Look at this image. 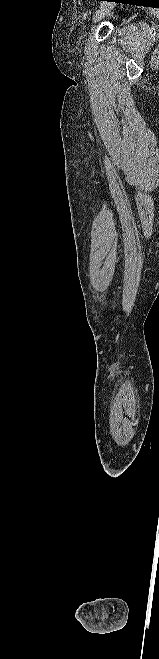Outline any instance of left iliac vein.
Returning <instances> with one entry per match:
<instances>
[{"mask_svg":"<svg viewBox=\"0 0 159 659\" xmlns=\"http://www.w3.org/2000/svg\"><path fill=\"white\" fill-rule=\"evenodd\" d=\"M112 7L109 3H104L93 15V22H100L111 11Z\"/></svg>","mask_w":159,"mask_h":659,"instance_id":"obj_1","label":"left iliac vein"}]
</instances>
